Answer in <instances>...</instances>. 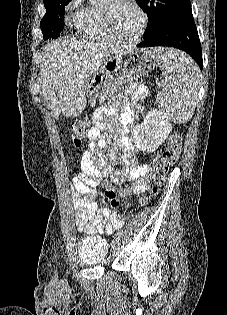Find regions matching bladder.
Here are the masks:
<instances>
[{
    "mask_svg": "<svg viewBox=\"0 0 227 315\" xmlns=\"http://www.w3.org/2000/svg\"><path fill=\"white\" fill-rule=\"evenodd\" d=\"M108 254L107 241L101 237H85L80 245L79 261L85 266L103 262Z\"/></svg>",
    "mask_w": 227,
    "mask_h": 315,
    "instance_id": "31cf9c89",
    "label": "bladder"
}]
</instances>
